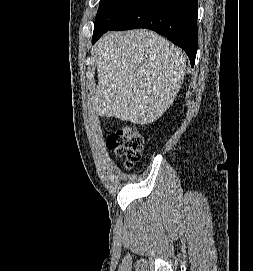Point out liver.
I'll use <instances>...</instances> for the list:
<instances>
[{"instance_id":"obj_1","label":"liver","mask_w":253,"mask_h":271,"mask_svg":"<svg viewBox=\"0 0 253 271\" xmlns=\"http://www.w3.org/2000/svg\"><path fill=\"white\" fill-rule=\"evenodd\" d=\"M94 53L93 105L100 116L150 124L170 107L184 79L185 53L153 31L106 33Z\"/></svg>"}]
</instances>
